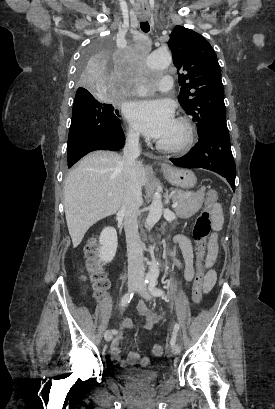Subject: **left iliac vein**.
<instances>
[{
	"label": "left iliac vein",
	"instance_id": "4c4485c4",
	"mask_svg": "<svg viewBox=\"0 0 275 409\" xmlns=\"http://www.w3.org/2000/svg\"><path fill=\"white\" fill-rule=\"evenodd\" d=\"M138 293H139L144 299H146L147 301H150V300L153 299L152 296L150 295L148 289H147L146 287H140L139 290H138ZM180 351H181L180 346L175 343V344L172 346V353H173V355H179V354H180Z\"/></svg>",
	"mask_w": 275,
	"mask_h": 409
}]
</instances>
